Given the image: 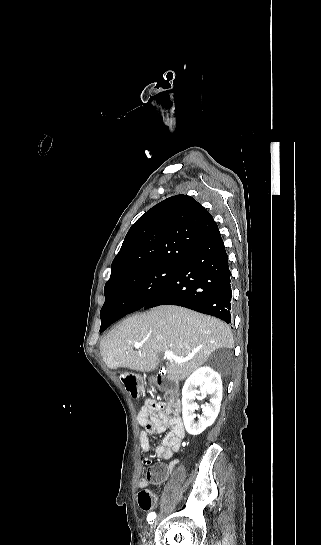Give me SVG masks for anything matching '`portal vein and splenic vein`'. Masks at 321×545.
I'll return each mask as SVG.
<instances>
[{"label": "portal vein and splenic vein", "instance_id": "portal-vein-and-splenic-vein-1", "mask_svg": "<svg viewBox=\"0 0 321 545\" xmlns=\"http://www.w3.org/2000/svg\"><path fill=\"white\" fill-rule=\"evenodd\" d=\"M143 343H134L135 349H140L142 347ZM166 359L168 361H175V363H185V361H191L190 359H183V357H176V355H173L172 351H166L165 353Z\"/></svg>", "mask_w": 321, "mask_h": 545}]
</instances>
